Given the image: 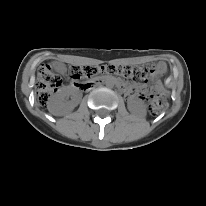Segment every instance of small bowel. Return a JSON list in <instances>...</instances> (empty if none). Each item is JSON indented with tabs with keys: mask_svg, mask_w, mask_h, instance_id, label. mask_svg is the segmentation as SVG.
Segmentation results:
<instances>
[{
	"mask_svg": "<svg viewBox=\"0 0 206 206\" xmlns=\"http://www.w3.org/2000/svg\"><path fill=\"white\" fill-rule=\"evenodd\" d=\"M166 70V65L164 62H160L158 63V65L156 66V69H155V74H162L164 73Z\"/></svg>",
	"mask_w": 206,
	"mask_h": 206,
	"instance_id": "1",
	"label": "small bowel"
}]
</instances>
